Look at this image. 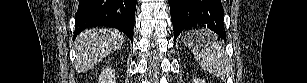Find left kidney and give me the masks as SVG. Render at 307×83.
Returning a JSON list of instances; mask_svg holds the SVG:
<instances>
[{
    "label": "left kidney",
    "instance_id": "1",
    "mask_svg": "<svg viewBox=\"0 0 307 83\" xmlns=\"http://www.w3.org/2000/svg\"><path fill=\"white\" fill-rule=\"evenodd\" d=\"M193 83H205V81L203 79H200V78H194Z\"/></svg>",
    "mask_w": 307,
    "mask_h": 83
}]
</instances>
